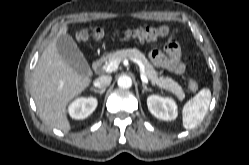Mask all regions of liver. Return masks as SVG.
<instances>
[{
    "mask_svg": "<svg viewBox=\"0 0 249 165\" xmlns=\"http://www.w3.org/2000/svg\"><path fill=\"white\" fill-rule=\"evenodd\" d=\"M67 26L60 28L57 36L43 51L34 69L31 94L42 121L61 131L71 129L66 115L70 101L78 97L89 85L91 79L78 74L59 54L57 38L66 34Z\"/></svg>",
    "mask_w": 249,
    "mask_h": 165,
    "instance_id": "obj_1",
    "label": "liver"
}]
</instances>
